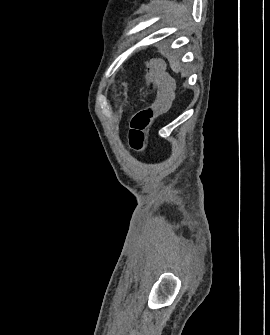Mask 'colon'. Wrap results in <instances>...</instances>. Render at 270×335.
Masks as SVG:
<instances>
[{
	"label": "colon",
	"instance_id": "colon-1",
	"mask_svg": "<svg viewBox=\"0 0 270 335\" xmlns=\"http://www.w3.org/2000/svg\"><path fill=\"white\" fill-rule=\"evenodd\" d=\"M146 80L151 84L152 89H160V97L156 98L153 106L143 107L137 110L130 119L128 142L131 149L141 152L146 146V129L152 126L155 118L167 116V109H174L175 99L174 74L173 72H163L166 63L161 57H150L143 62ZM156 109V113H155Z\"/></svg>",
	"mask_w": 270,
	"mask_h": 335
}]
</instances>
